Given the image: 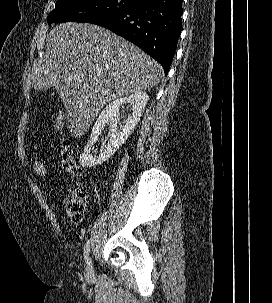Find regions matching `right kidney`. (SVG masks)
<instances>
[{"label": "right kidney", "mask_w": 272, "mask_h": 303, "mask_svg": "<svg viewBox=\"0 0 272 303\" xmlns=\"http://www.w3.org/2000/svg\"><path fill=\"white\" fill-rule=\"evenodd\" d=\"M148 98L146 92H135L128 97L112 101L102 110L92 128L90 139L80 155L79 163L82 167L92 168L102 164L124 144L140 121ZM127 103L132 105L133 112L127 119L121 121L119 110ZM107 124L110 125L109 140L102 144L98 154L92 155L91 149ZM118 124L119 128H117Z\"/></svg>", "instance_id": "1"}]
</instances>
